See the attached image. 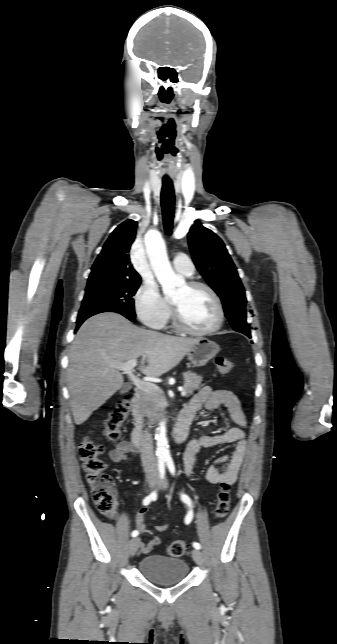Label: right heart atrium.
<instances>
[{"label":"right heart atrium","mask_w":337,"mask_h":644,"mask_svg":"<svg viewBox=\"0 0 337 644\" xmlns=\"http://www.w3.org/2000/svg\"><path fill=\"white\" fill-rule=\"evenodd\" d=\"M135 306L138 317L148 327L160 329L169 319V303L153 281L145 282L139 287L135 296Z\"/></svg>","instance_id":"d8ad5b80"}]
</instances>
